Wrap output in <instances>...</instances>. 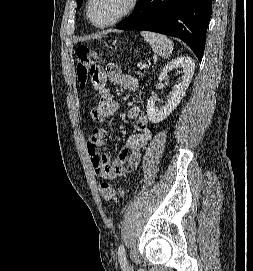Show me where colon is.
Here are the masks:
<instances>
[{
	"mask_svg": "<svg viewBox=\"0 0 253 271\" xmlns=\"http://www.w3.org/2000/svg\"><path fill=\"white\" fill-rule=\"evenodd\" d=\"M101 62L100 56L86 46H79L76 50V75L81 87L90 80L98 86V68ZM99 192L107 202L115 201L123 196L124 191L115 187L110 182L104 181L99 184Z\"/></svg>",
	"mask_w": 253,
	"mask_h": 271,
	"instance_id": "5ec220e1",
	"label": "colon"
}]
</instances>
